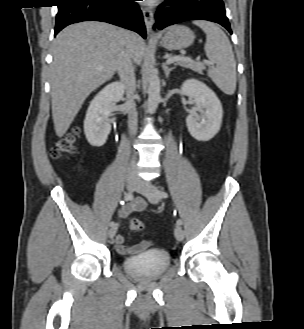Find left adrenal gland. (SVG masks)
Returning a JSON list of instances; mask_svg holds the SVG:
<instances>
[{
	"instance_id": "obj_1",
	"label": "left adrenal gland",
	"mask_w": 304,
	"mask_h": 329,
	"mask_svg": "<svg viewBox=\"0 0 304 329\" xmlns=\"http://www.w3.org/2000/svg\"><path fill=\"white\" fill-rule=\"evenodd\" d=\"M162 68H163V70H164V73H165V77H166V78H168L170 72H171L173 69H175L174 67L169 68L168 65H167L166 63H163V64H162Z\"/></svg>"
}]
</instances>
